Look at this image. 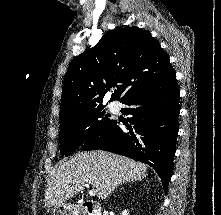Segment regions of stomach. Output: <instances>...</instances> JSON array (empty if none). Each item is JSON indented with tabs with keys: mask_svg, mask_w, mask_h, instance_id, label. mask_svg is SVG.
Wrapping results in <instances>:
<instances>
[{
	"mask_svg": "<svg viewBox=\"0 0 221 215\" xmlns=\"http://www.w3.org/2000/svg\"><path fill=\"white\" fill-rule=\"evenodd\" d=\"M52 215H75L74 206L61 203L52 208Z\"/></svg>",
	"mask_w": 221,
	"mask_h": 215,
	"instance_id": "0dacf381",
	"label": "stomach"
}]
</instances>
